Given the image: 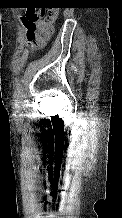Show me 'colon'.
<instances>
[{
	"instance_id": "1",
	"label": "colon",
	"mask_w": 122,
	"mask_h": 218,
	"mask_svg": "<svg viewBox=\"0 0 122 218\" xmlns=\"http://www.w3.org/2000/svg\"><path fill=\"white\" fill-rule=\"evenodd\" d=\"M56 11L44 8L28 9L24 17L28 45L33 48L42 43L52 32Z\"/></svg>"
}]
</instances>
